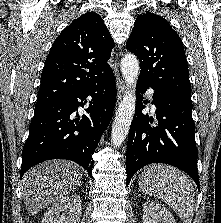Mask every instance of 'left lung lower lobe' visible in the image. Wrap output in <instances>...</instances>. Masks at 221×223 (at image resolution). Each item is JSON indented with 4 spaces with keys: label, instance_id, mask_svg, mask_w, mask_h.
Here are the masks:
<instances>
[{
    "label": "left lung lower lobe",
    "instance_id": "left-lung-lower-lobe-1",
    "mask_svg": "<svg viewBox=\"0 0 221 223\" xmlns=\"http://www.w3.org/2000/svg\"><path fill=\"white\" fill-rule=\"evenodd\" d=\"M149 87V84L138 80L137 104L127 143V186L140 168L151 163H165L186 172L199 188L193 104L151 87L155 90L153 104L156 106L157 120V125L153 126V118L142 114L145 108L142 94Z\"/></svg>",
    "mask_w": 221,
    "mask_h": 223
}]
</instances>
